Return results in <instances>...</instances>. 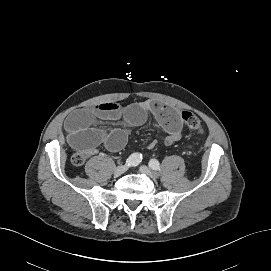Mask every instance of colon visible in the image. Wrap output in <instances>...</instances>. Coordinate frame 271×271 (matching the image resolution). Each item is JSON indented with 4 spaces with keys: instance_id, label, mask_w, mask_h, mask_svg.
<instances>
[{
    "instance_id": "1",
    "label": "colon",
    "mask_w": 271,
    "mask_h": 271,
    "mask_svg": "<svg viewBox=\"0 0 271 271\" xmlns=\"http://www.w3.org/2000/svg\"><path fill=\"white\" fill-rule=\"evenodd\" d=\"M181 117L188 129L196 131L201 128V122L195 114L189 111H183L181 114ZM84 161H85V156L82 153H77L72 158L73 164L77 166L82 165Z\"/></svg>"
}]
</instances>
